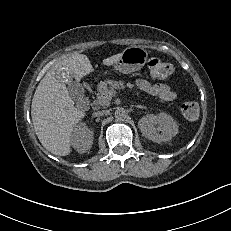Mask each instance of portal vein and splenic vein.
Returning <instances> with one entry per match:
<instances>
[{"instance_id":"obj_1","label":"portal vein and splenic vein","mask_w":231,"mask_h":231,"mask_svg":"<svg viewBox=\"0 0 231 231\" xmlns=\"http://www.w3.org/2000/svg\"><path fill=\"white\" fill-rule=\"evenodd\" d=\"M114 94H115V91H110V92H109V95H110V96H113Z\"/></svg>"}]
</instances>
